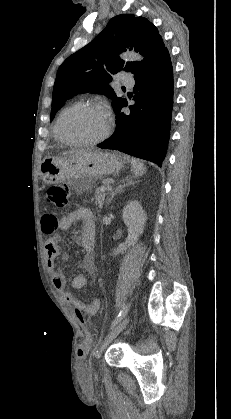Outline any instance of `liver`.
I'll use <instances>...</instances> for the list:
<instances>
[{"label":"liver","instance_id":"1","mask_svg":"<svg viewBox=\"0 0 231 419\" xmlns=\"http://www.w3.org/2000/svg\"><path fill=\"white\" fill-rule=\"evenodd\" d=\"M84 152H87V150H83V149H80V150H71V151H68V152H64L63 154L64 155H70V154L84 153Z\"/></svg>","mask_w":231,"mask_h":419}]
</instances>
